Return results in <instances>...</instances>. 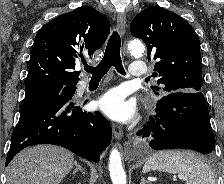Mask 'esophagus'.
I'll use <instances>...</instances> for the list:
<instances>
[{"label": "esophagus", "mask_w": 224, "mask_h": 184, "mask_svg": "<svg viewBox=\"0 0 224 184\" xmlns=\"http://www.w3.org/2000/svg\"><path fill=\"white\" fill-rule=\"evenodd\" d=\"M117 28L121 35L125 34L126 29V15L123 12L118 13L117 15ZM113 134L116 139H121L123 136V130L120 126L113 124L112 125Z\"/></svg>", "instance_id": "esophagus-1"}]
</instances>
